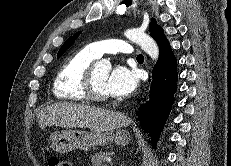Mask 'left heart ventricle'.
Listing matches in <instances>:
<instances>
[{
	"label": "left heart ventricle",
	"instance_id": "obj_1",
	"mask_svg": "<svg viewBox=\"0 0 231 166\" xmlns=\"http://www.w3.org/2000/svg\"><path fill=\"white\" fill-rule=\"evenodd\" d=\"M94 76H95V82H96L98 89L101 92L108 95V92L105 86V83L108 77V70L97 66L95 67Z\"/></svg>",
	"mask_w": 231,
	"mask_h": 166
}]
</instances>
